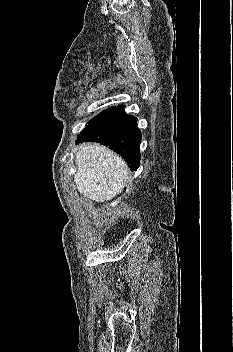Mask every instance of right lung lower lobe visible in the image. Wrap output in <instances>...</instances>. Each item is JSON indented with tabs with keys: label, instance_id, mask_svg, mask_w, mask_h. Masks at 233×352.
<instances>
[{
	"label": "right lung lower lobe",
	"instance_id": "right-lung-lower-lobe-1",
	"mask_svg": "<svg viewBox=\"0 0 233 352\" xmlns=\"http://www.w3.org/2000/svg\"><path fill=\"white\" fill-rule=\"evenodd\" d=\"M141 133L137 118L124 112V105L111 108L88 124L77 136L76 144L97 142L117 152L132 171L140 166Z\"/></svg>",
	"mask_w": 233,
	"mask_h": 352
}]
</instances>
